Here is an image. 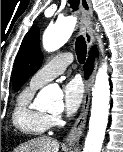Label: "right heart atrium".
I'll list each match as a JSON object with an SVG mask.
<instances>
[{
	"mask_svg": "<svg viewBox=\"0 0 123 152\" xmlns=\"http://www.w3.org/2000/svg\"><path fill=\"white\" fill-rule=\"evenodd\" d=\"M50 127L56 126L60 122V117L58 115H50Z\"/></svg>",
	"mask_w": 123,
	"mask_h": 152,
	"instance_id": "1",
	"label": "right heart atrium"
}]
</instances>
